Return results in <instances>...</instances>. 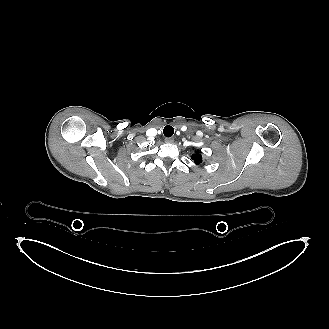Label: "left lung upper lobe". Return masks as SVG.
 <instances>
[{
    "label": "left lung upper lobe",
    "instance_id": "5c2ea615",
    "mask_svg": "<svg viewBox=\"0 0 329 329\" xmlns=\"http://www.w3.org/2000/svg\"><path fill=\"white\" fill-rule=\"evenodd\" d=\"M192 159L196 164H200L202 162V156L199 152H195V154L192 155Z\"/></svg>",
    "mask_w": 329,
    "mask_h": 329
}]
</instances>
